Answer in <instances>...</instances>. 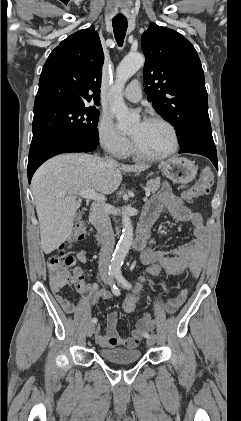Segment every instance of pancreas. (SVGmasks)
<instances>
[{
  "label": "pancreas",
  "mask_w": 241,
  "mask_h": 421,
  "mask_svg": "<svg viewBox=\"0 0 241 421\" xmlns=\"http://www.w3.org/2000/svg\"><path fill=\"white\" fill-rule=\"evenodd\" d=\"M146 186L150 192L155 193L160 188V178L149 180Z\"/></svg>",
  "instance_id": "1"
}]
</instances>
